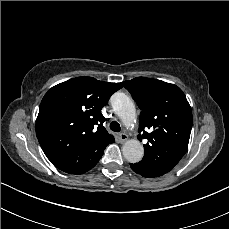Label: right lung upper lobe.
<instances>
[{"instance_id": "obj_1", "label": "right lung upper lobe", "mask_w": 229, "mask_h": 229, "mask_svg": "<svg viewBox=\"0 0 229 229\" xmlns=\"http://www.w3.org/2000/svg\"><path fill=\"white\" fill-rule=\"evenodd\" d=\"M122 86L77 77L52 87L43 97L36 135L47 158L58 169L82 174L115 141L100 112Z\"/></svg>"}]
</instances>
